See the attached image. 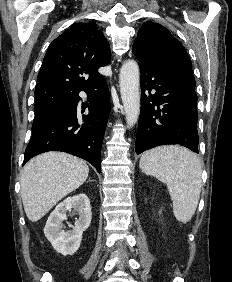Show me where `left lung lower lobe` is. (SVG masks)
I'll return each instance as SVG.
<instances>
[{"label":"left lung lower lobe","mask_w":232,"mask_h":282,"mask_svg":"<svg viewBox=\"0 0 232 282\" xmlns=\"http://www.w3.org/2000/svg\"><path fill=\"white\" fill-rule=\"evenodd\" d=\"M138 64L142 93L137 154L167 144H180L198 153L197 95L192 66L181 62Z\"/></svg>","instance_id":"1"}]
</instances>
